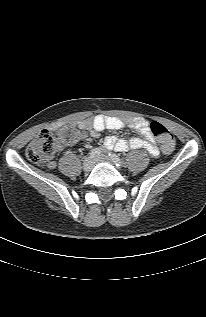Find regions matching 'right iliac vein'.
I'll list each match as a JSON object with an SVG mask.
<instances>
[{
	"label": "right iliac vein",
	"mask_w": 206,
	"mask_h": 317,
	"mask_svg": "<svg viewBox=\"0 0 206 317\" xmlns=\"http://www.w3.org/2000/svg\"><path fill=\"white\" fill-rule=\"evenodd\" d=\"M94 166V161L91 157H86L83 162V169L85 172L91 171Z\"/></svg>",
	"instance_id": "obj_1"
}]
</instances>
